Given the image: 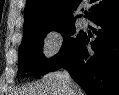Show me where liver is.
Here are the masks:
<instances>
[{
  "label": "liver",
  "instance_id": "obj_1",
  "mask_svg": "<svg viewBox=\"0 0 119 95\" xmlns=\"http://www.w3.org/2000/svg\"><path fill=\"white\" fill-rule=\"evenodd\" d=\"M73 87L77 91V95H84L81 88L74 82ZM18 93L19 95H72L63 78V72H50L43 76L40 81L29 84Z\"/></svg>",
  "mask_w": 119,
  "mask_h": 95
}]
</instances>
